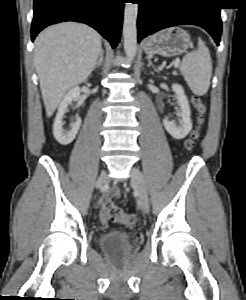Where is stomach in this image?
Segmentation results:
<instances>
[{"label": "stomach", "instance_id": "0dacf381", "mask_svg": "<svg viewBox=\"0 0 246 300\" xmlns=\"http://www.w3.org/2000/svg\"><path fill=\"white\" fill-rule=\"evenodd\" d=\"M191 38L187 31L179 27H171L150 36L145 42L147 55L160 54L176 56L187 51Z\"/></svg>", "mask_w": 246, "mask_h": 300}]
</instances>
